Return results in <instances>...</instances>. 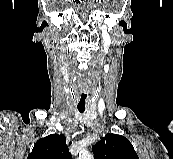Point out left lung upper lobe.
<instances>
[{
  "instance_id": "1",
  "label": "left lung upper lobe",
  "mask_w": 173,
  "mask_h": 159,
  "mask_svg": "<svg viewBox=\"0 0 173 159\" xmlns=\"http://www.w3.org/2000/svg\"><path fill=\"white\" fill-rule=\"evenodd\" d=\"M92 151L95 159H139L130 141L117 134H106Z\"/></svg>"
}]
</instances>
